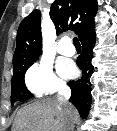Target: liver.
I'll list each match as a JSON object with an SVG mask.
<instances>
[{
	"label": "liver",
	"mask_w": 117,
	"mask_h": 131,
	"mask_svg": "<svg viewBox=\"0 0 117 131\" xmlns=\"http://www.w3.org/2000/svg\"><path fill=\"white\" fill-rule=\"evenodd\" d=\"M72 120L79 118L72 106ZM69 117L58 99H46L21 108L15 118L12 131H67Z\"/></svg>",
	"instance_id": "liver-1"
}]
</instances>
